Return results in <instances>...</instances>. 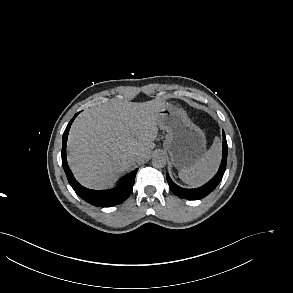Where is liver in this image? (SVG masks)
<instances>
[{
    "label": "liver",
    "mask_w": 293,
    "mask_h": 293,
    "mask_svg": "<svg viewBox=\"0 0 293 293\" xmlns=\"http://www.w3.org/2000/svg\"><path fill=\"white\" fill-rule=\"evenodd\" d=\"M165 106L156 98L114 101L83 111L74 120L67 143L68 163L76 179L88 188L104 189L143 162L155 147L158 116ZM132 156L139 161L130 162Z\"/></svg>",
    "instance_id": "obj_1"
}]
</instances>
